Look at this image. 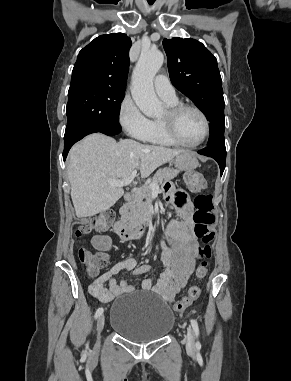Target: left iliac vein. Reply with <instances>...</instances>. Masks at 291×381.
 Listing matches in <instances>:
<instances>
[{
    "label": "left iliac vein",
    "instance_id": "4c4485c4",
    "mask_svg": "<svg viewBox=\"0 0 291 381\" xmlns=\"http://www.w3.org/2000/svg\"><path fill=\"white\" fill-rule=\"evenodd\" d=\"M186 347L190 351L195 349V334L191 327L187 329Z\"/></svg>",
    "mask_w": 291,
    "mask_h": 381
}]
</instances>
